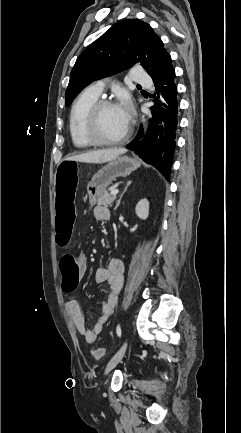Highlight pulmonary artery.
Segmentation results:
<instances>
[{
    "instance_id": "pulmonary-artery-1",
    "label": "pulmonary artery",
    "mask_w": 241,
    "mask_h": 433,
    "mask_svg": "<svg viewBox=\"0 0 241 433\" xmlns=\"http://www.w3.org/2000/svg\"><path fill=\"white\" fill-rule=\"evenodd\" d=\"M131 80L137 84H149L150 78L149 76L141 69V68H134L131 72ZM105 84L103 81L99 80L96 82H93L89 85L88 89L96 94L100 95L104 90Z\"/></svg>"
}]
</instances>
